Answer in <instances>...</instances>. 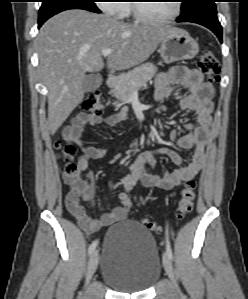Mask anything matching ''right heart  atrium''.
Returning a JSON list of instances; mask_svg holds the SVG:
<instances>
[{
  "label": "right heart atrium",
  "instance_id": "obj_1",
  "mask_svg": "<svg viewBox=\"0 0 248 299\" xmlns=\"http://www.w3.org/2000/svg\"><path fill=\"white\" fill-rule=\"evenodd\" d=\"M99 8L110 15H124L126 13L125 4L121 0H100Z\"/></svg>",
  "mask_w": 248,
  "mask_h": 299
}]
</instances>
